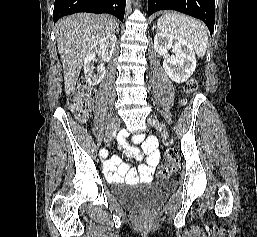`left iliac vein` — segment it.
<instances>
[{"label": "left iliac vein", "mask_w": 257, "mask_h": 237, "mask_svg": "<svg viewBox=\"0 0 257 237\" xmlns=\"http://www.w3.org/2000/svg\"><path fill=\"white\" fill-rule=\"evenodd\" d=\"M149 123L153 127H155L157 130H159L164 137L168 136V132H167L165 126L161 122H159L157 119H149Z\"/></svg>", "instance_id": "1"}]
</instances>
